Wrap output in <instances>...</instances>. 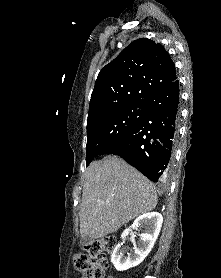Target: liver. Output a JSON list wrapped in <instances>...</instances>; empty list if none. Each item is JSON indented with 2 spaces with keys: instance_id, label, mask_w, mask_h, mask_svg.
Here are the masks:
<instances>
[{
  "instance_id": "liver-1",
  "label": "liver",
  "mask_w": 221,
  "mask_h": 278,
  "mask_svg": "<svg viewBox=\"0 0 221 278\" xmlns=\"http://www.w3.org/2000/svg\"><path fill=\"white\" fill-rule=\"evenodd\" d=\"M155 186L117 156L90 164L80 205V234L92 239L116 232L130 220L155 209Z\"/></svg>"
}]
</instances>
